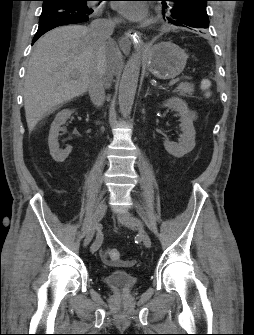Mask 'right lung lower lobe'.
Returning <instances> with one entry per match:
<instances>
[{
  "label": "right lung lower lobe",
  "instance_id": "98d812e1",
  "mask_svg": "<svg viewBox=\"0 0 254 335\" xmlns=\"http://www.w3.org/2000/svg\"><path fill=\"white\" fill-rule=\"evenodd\" d=\"M43 10L33 43L47 31L60 25L86 22L94 11L93 0H42ZM101 1V0H99Z\"/></svg>",
  "mask_w": 254,
  "mask_h": 335
}]
</instances>
